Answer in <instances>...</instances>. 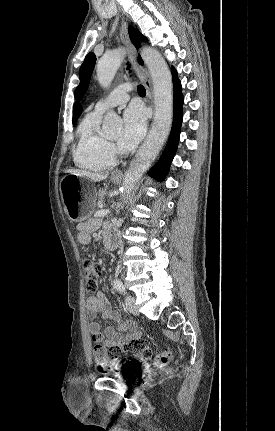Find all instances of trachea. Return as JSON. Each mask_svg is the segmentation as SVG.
Listing matches in <instances>:
<instances>
[{
  "label": "trachea",
  "mask_w": 275,
  "mask_h": 431,
  "mask_svg": "<svg viewBox=\"0 0 275 431\" xmlns=\"http://www.w3.org/2000/svg\"><path fill=\"white\" fill-rule=\"evenodd\" d=\"M130 68H131V66L128 64L127 70H129V72H130ZM137 91H138V94L140 96H144L146 94V90H145V88L142 85H138Z\"/></svg>",
  "instance_id": "obj_1"
}]
</instances>
